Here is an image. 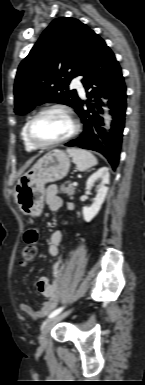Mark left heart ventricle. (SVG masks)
<instances>
[{
    "instance_id": "1",
    "label": "left heart ventricle",
    "mask_w": 145,
    "mask_h": 385,
    "mask_svg": "<svg viewBox=\"0 0 145 385\" xmlns=\"http://www.w3.org/2000/svg\"><path fill=\"white\" fill-rule=\"evenodd\" d=\"M72 129L69 119L58 111L42 114L33 124L32 136L40 144H48L59 140Z\"/></svg>"
}]
</instances>
